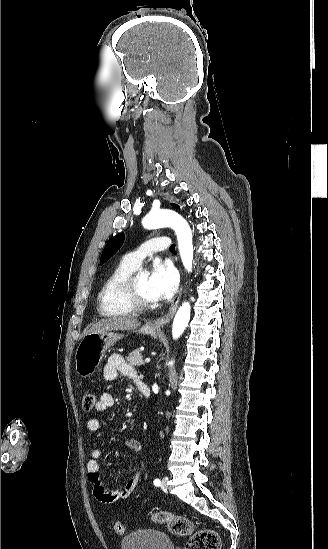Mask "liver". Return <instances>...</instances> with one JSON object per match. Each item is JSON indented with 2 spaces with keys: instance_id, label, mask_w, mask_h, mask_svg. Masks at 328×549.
<instances>
[{
  "instance_id": "1",
  "label": "liver",
  "mask_w": 328,
  "mask_h": 549,
  "mask_svg": "<svg viewBox=\"0 0 328 549\" xmlns=\"http://www.w3.org/2000/svg\"><path fill=\"white\" fill-rule=\"evenodd\" d=\"M140 325L138 319H131V317H106V319L94 323L86 331V335L88 333H103V331H135Z\"/></svg>"
}]
</instances>
